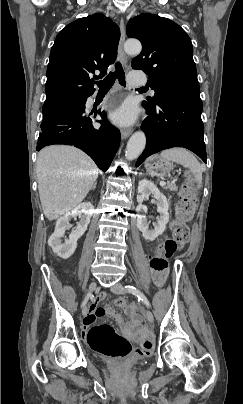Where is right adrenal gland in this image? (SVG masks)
Listing matches in <instances>:
<instances>
[{
  "instance_id": "right-adrenal-gland-1",
  "label": "right adrenal gland",
  "mask_w": 243,
  "mask_h": 404,
  "mask_svg": "<svg viewBox=\"0 0 243 404\" xmlns=\"http://www.w3.org/2000/svg\"><path fill=\"white\" fill-rule=\"evenodd\" d=\"M96 186H97V184H93L91 190H95Z\"/></svg>"
}]
</instances>
